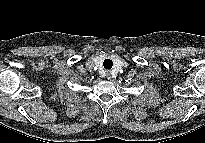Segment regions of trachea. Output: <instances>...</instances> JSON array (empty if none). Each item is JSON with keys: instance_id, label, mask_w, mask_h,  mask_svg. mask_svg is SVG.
I'll list each match as a JSON object with an SVG mask.
<instances>
[{"instance_id": "3493384b", "label": "trachea", "mask_w": 205, "mask_h": 143, "mask_svg": "<svg viewBox=\"0 0 205 143\" xmlns=\"http://www.w3.org/2000/svg\"><path fill=\"white\" fill-rule=\"evenodd\" d=\"M112 65H113V62H112V60H110V59H106V60L104 61V63H103V66H104V68H106V69H111V68H112Z\"/></svg>"}]
</instances>
